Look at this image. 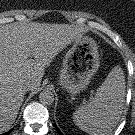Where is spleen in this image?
I'll list each match as a JSON object with an SVG mask.
<instances>
[{
	"instance_id": "obj_1",
	"label": "spleen",
	"mask_w": 135,
	"mask_h": 135,
	"mask_svg": "<svg viewBox=\"0 0 135 135\" xmlns=\"http://www.w3.org/2000/svg\"><path fill=\"white\" fill-rule=\"evenodd\" d=\"M124 94L123 71L116 67L95 95L73 113L75 125L89 135H110L122 110Z\"/></svg>"
}]
</instances>
